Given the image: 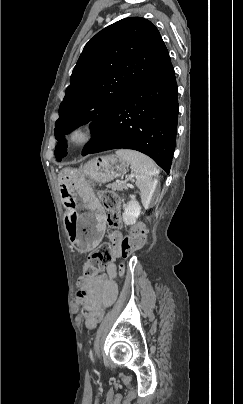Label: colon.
I'll use <instances>...</instances> for the list:
<instances>
[{
	"instance_id": "colon-1",
	"label": "colon",
	"mask_w": 243,
	"mask_h": 404,
	"mask_svg": "<svg viewBox=\"0 0 243 404\" xmlns=\"http://www.w3.org/2000/svg\"><path fill=\"white\" fill-rule=\"evenodd\" d=\"M99 198L107 211V222L112 228L121 226V218L119 213V199L117 195L110 190H102L99 192ZM146 241L145 228L142 224H137L134 229L123 238L120 245V254L123 258H128L133 253L141 249ZM114 247L110 243H102L98 248L92 251L83 268V276L85 278H93L102 269L103 266L113 261ZM123 275V268L120 272ZM103 312L97 317L100 321Z\"/></svg>"
}]
</instances>
